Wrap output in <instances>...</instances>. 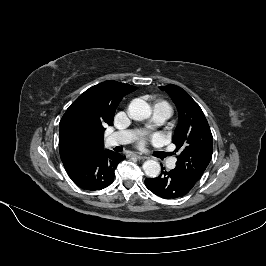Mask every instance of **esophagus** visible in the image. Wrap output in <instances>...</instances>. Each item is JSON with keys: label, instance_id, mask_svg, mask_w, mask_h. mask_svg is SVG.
Returning a JSON list of instances; mask_svg holds the SVG:
<instances>
[{"label": "esophagus", "instance_id": "obj_1", "mask_svg": "<svg viewBox=\"0 0 266 266\" xmlns=\"http://www.w3.org/2000/svg\"><path fill=\"white\" fill-rule=\"evenodd\" d=\"M131 157H134V158H136L138 160L144 159V157H142V156H140L138 154H131Z\"/></svg>", "mask_w": 266, "mask_h": 266}]
</instances>
